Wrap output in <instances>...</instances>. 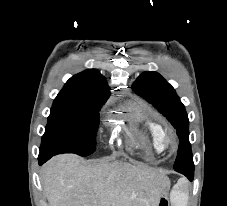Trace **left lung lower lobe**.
<instances>
[{
    "instance_id": "left-lung-lower-lobe-1",
    "label": "left lung lower lobe",
    "mask_w": 227,
    "mask_h": 206,
    "mask_svg": "<svg viewBox=\"0 0 227 206\" xmlns=\"http://www.w3.org/2000/svg\"><path fill=\"white\" fill-rule=\"evenodd\" d=\"M175 171L184 174L190 181L194 178V169H178Z\"/></svg>"
}]
</instances>
